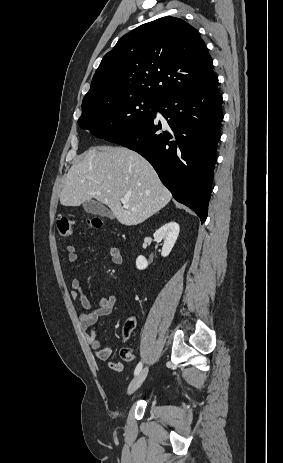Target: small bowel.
<instances>
[{
	"instance_id": "obj_1",
	"label": "small bowel",
	"mask_w": 283,
	"mask_h": 463,
	"mask_svg": "<svg viewBox=\"0 0 283 463\" xmlns=\"http://www.w3.org/2000/svg\"><path fill=\"white\" fill-rule=\"evenodd\" d=\"M67 257L70 263H75L78 260V253L73 245H67ZM110 259L113 264L119 265L122 263V255L117 247L109 248ZM71 298L78 301L83 309L87 312L81 316V326L85 332L87 343L92 347L96 358L100 361H108V367L115 371L121 372L123 364L113 360H109L112 350L108 345H103L96 339L95 325L101 317L107 316L112 312L116 304L115 296L103 297L98 307H94L88 297L82 293L81 285L78 279H72L70 282Z\"/></svg>"
}]
</instances>
